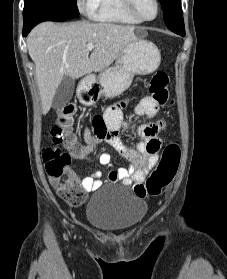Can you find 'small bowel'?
Masks as SVG:
<instances>
[{
  "instance_id": "1",
  "label": "small bowel",
  "mask_w": 227,
  "mask_h": 279,
  "mask_svg": "<svg viewBox=\"0 0 227 279\" xmlns=\"http://www.w3.org/2000/svg\"><path fill=\"white\" fill-rule=\"evenodd\" d=\"M149 104H153V100L150 98H145L142 100L140 104L141 112L149 117L154 116L158 107H148ZM125 105L124 102L119 103L118 106H115L109 109L105 115V125L108 128L105 132L101 134H97L86 126L84 128V140L89 147H95L100 143H106L111 145L114 149H116L124 158L129 161V165L127 167H120L118 169L112 170L108 173L106 182H118L122 181L125 183H133L134 185H140L144 188V181L148 174V171L154 167L159 159L158 150L161 146V139L159 134L164 129L163 121H156L152 123H147L143 125V128L153 129L152 134H144V146L149 145L151 143L156 144L157 150L151 155H143L138 153L137 151L127 147L122 143V141L117 137V134L120 129V125L128 126V122H123V115L121 112V108ZM113 127V130H109V128ZM93 158L92 155H84L82 157L83 161H89ZM98 161L100 164L104 166H110L112 164V157L107 152H102L98 155ZM103 174L100 171H95L90 175L86 176L82 180V187L86 193L95 191L98 189L103 183ZM51 182L55 184L56 180L51 179ZM85 200V196L81 198L80 203Z\"/></svg>"
}]
</instances>
